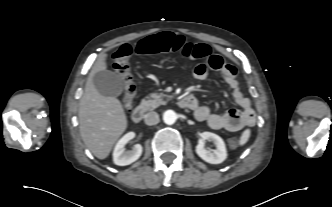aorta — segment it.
Here are the masks:
<instances>
[{"instance_id":"aorta-1","label":"aorta","mask_w":332,"mask_h":207,"mask_svg":"<svg viewBox=\"0 0 332 207\" xmlns=\"http://www.w3.org/2000/svg\"><path fill=\"white\" fill-rule=\"evenodd\" d=\"M177 120V114L173 110H167L163 114V121L167 125H172L176 122Z\"/></svg>"}]
</instances>
